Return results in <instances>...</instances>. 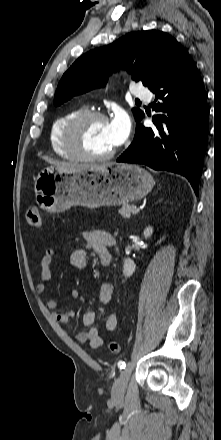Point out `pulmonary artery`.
I'll return each instance as SVG.
<instances>
[{
    "label": "pulmonary artery",
    "instance_id": "pulmonary-artery-1",
    "mask_svg": "<svg viewBox=\"0 0 221 440\" xmlns=\"http://www.w3.org/2000/svg\"><path fill=\"white\" fill-rule=\"evenodd\" d=\"M132 95L138 99L150 100L151 92L146 88H135L132 90Z\"/></svg>",
    "mask_w": 221,
    "mask_h": 440
}]
</instances>
